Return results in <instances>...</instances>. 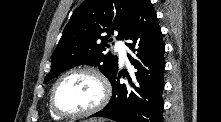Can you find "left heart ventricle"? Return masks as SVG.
Returning <instances> with one entry per match:
<instances>
[{"mask_svg": "<svg viewBox=\"0 0 221 122\" xmlns=\"http://www.w3.org/2000/svg\"><path fill=\"white\" fill-rule=\"evenodd\" d=\"M101 97V86L89 74H74L63 80L55 94L57 106L70 113L81 112L94 106Z\"/></svg>", "mask_w": 221, "mask_h": 122, "instance_id": "1", "label": "left heart ventricle"}]
</instances>
